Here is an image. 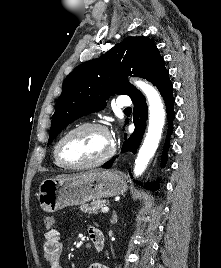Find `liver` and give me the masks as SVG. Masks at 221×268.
<instances>
[{
	"mask_svg": "<svg viewBox=\"0 0 221 268\" xmlns=\"http://www.w3.org/2000/svg\"><path fill=\"white\" fill-rule=\"evenodd\" d=\"M101 170H94V171H90L88 172L89 174H95V173H99ZM81 175V174H80ZM74 176H78V175H74ZM74 176H69V175H58L55 177V179H62V178H65V177H74Z\"/></svg>",
	"mask_w": 221,
	"mask_h": 268,
	"instance_id": "obj_1",
	"label": "liver"
}]
</instances>
